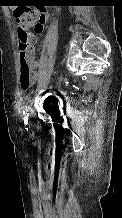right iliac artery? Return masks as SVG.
<instances>
[{"label":"right iliac artery","instance_id":"82829eb1","mask_svg":"<svg viewBox=\"0 0 122 218\" xmlns=\"http://www.w3.org/2000/svg\"><path fill=\"white\" fill-rule=\"evenodd\" d=\"M31 105H32V100L28 99L23 112L24 113L23 120L25 125L28 124V111L30 110Z\"/></svg>","mask_w":122,"mask_h":218}]
</instances>
